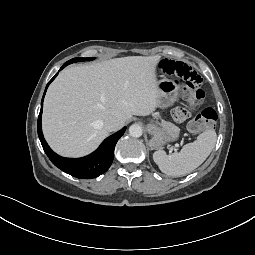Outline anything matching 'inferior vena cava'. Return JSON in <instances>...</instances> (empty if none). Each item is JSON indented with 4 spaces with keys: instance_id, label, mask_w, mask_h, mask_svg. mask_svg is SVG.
<instances>
[{
    "instance_id": "602c4592",
    "label": "inferior vena cava",
    "mask_w": 255,
    "mask_h": 255,
    "mask_svg": "<svg viewBox=\"0 0 255 255\" xmlns=\"http://www.w3.org/2000/svg\"><path fill=\"white\" fill-rule=\"evenodd\" d=\"M104 126L109 132H112V131H117L118 129H120L122 126V123L120 122L119 119L115 117H111L105 121Z\"/></svg>"
}]
</instances>
